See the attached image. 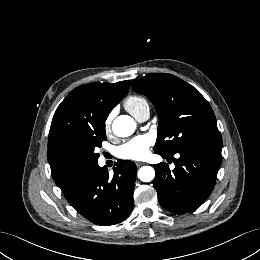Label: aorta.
<instances>
[{"instance_id":"obj_1","label":"aorta","mask_w":260,"mask_h":260,"mask_svg":"<svg viewBox=\"0 0 260 260\" xmlns=\"http://www.w3.org/2000/svg\"><path fill=\"white\" fill-rule=\"evenodd\" d=\"M136 122L128 115H120L112 124V131L118 137H128L134 133ZM138 178L143 182H150L155 177V170L151 166H143L138 170Z\"/></svg>"}]
</instances>
